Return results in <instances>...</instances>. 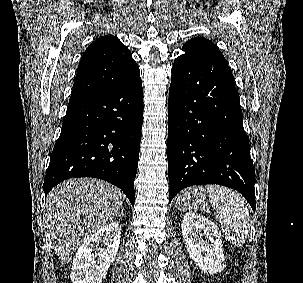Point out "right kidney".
<instances>
[{"label":"right kidney","instance_id":"right-kidney-1","mask_svg":"<svg viewBox=\"0 0 303 283\" xmlns=\"http://www.w3.org/2000/svg\"><path fill=\"white\" fill-rule=\"evenodd\" d=\"M121 229L118 223H110L90 235L78 248L72 263V283H102L108 269L115 260L119 244ZM99 243L105 248L98 253L95 260L93 251Z\"/></svg>","mask_w":303,"mask_h":283}]
</instances>
